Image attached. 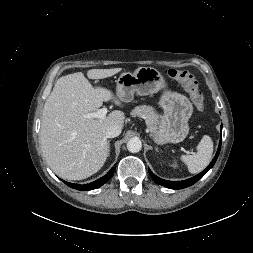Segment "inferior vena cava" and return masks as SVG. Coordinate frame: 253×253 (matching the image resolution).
<instances>
[{
  "label": "inferior vena cava",
  "instance_id": "inferior-vena-cava-1",
  "mask_svg": "<svg viewBox=\"0 0 253 253\" xmlns=\"http://www.w3.org/2000/svg\"><path fill=\"white\" fill-rule=\"evenodd\" d=\"M121 127L117 124L110 126L107 130H106V137L107 138H114L120 135L121 133Z\"/></svg>",
  "mask_w": 253,
  "mask_h": 253
}]
</instances>
